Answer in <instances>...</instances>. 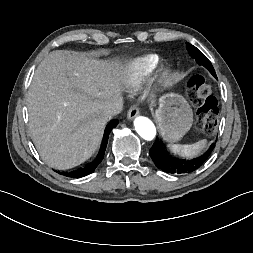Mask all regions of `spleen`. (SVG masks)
I'll return each instance as SVG.
<instances>
[{
	"mask_svg": "<svg viewBox=\"0 0 253 253\" xmlns=\"http://www.w3.org/2000/svg\"><path fill=\"white\" fill-rule=\"evenodd\" d=\"M205 145L206 140L203 139L190 145L173 144L171 145V149L174 153H181L185 156H193L201 149H203Z\"/></svg>",
	"mask_w": 253,
	"mask_h": 253,
	"instance_id": "spleen-1",
	"label": "spleen"
}]
</instances>
